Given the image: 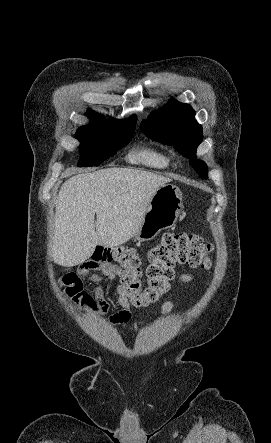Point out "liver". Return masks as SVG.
<instances>
[{"mask_svg":"<svg viewBox=\"0 0 271 443\" xmlns=\"http://www.w3.org/2000/svg\"><path fill=\"white\" fill-rule=\"evenodd\" d=\"M168 182L169 178L129 168L79 172L66 180L55 206L53 261L78 265L91 257L96 245L115 247L129 241L153 194Z\"/></svg>","mask_w":271,"mask_h":443,"instance_id":"liver-1","label":"liver"}]
</instances>
